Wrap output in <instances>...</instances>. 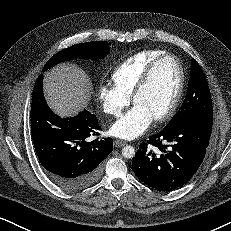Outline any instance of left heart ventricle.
Instances as JSON below:
<instances>
[{
	"instance_id": "left-heart-ventricle-1",
	"label": "left heart ventricle",
	"mask_w": 231,
	"mask_h": 231,
	"mask_svg": "<svg viewBox=\"0 0 231 231\" xmlns=\"http://www.w3.org/2000/svg\"><path fill=\"white\" fill-rule=\"evenodd\" d=\"M179 80L178 66L173 59L161 61L154 69L149 83L137 97L135 104L149 112L153 118L169 107Z\"/></svg>"
}]
</instances>
